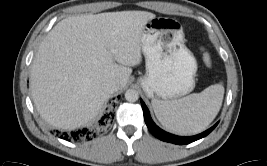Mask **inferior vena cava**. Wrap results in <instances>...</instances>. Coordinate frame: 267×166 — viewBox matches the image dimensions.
Instances as JSON below:
<instances>
[{"instance_id":"1","label":"inferior vena cava","mask_w":267,"mask_h":166,"mask_svg":"<svg viewBox=\"0 0 267 166\" xmlns=\"http://www.w3.org/2000/svg\"><path fill=\"white\" fill-rule=\"evenodd\" d=\"M118 90V85L115 82H109L106 84V91L110 94L116 92Z\"/></svg>"}]
</instances>
